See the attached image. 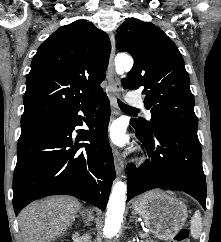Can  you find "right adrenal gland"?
Returning <instances> with one entry per match:
<instances>
[{
  "label": "right adrenal gland",
  "mask_w": 221,
  "mask_h": 242,
  "mask_svg": "<svg viewBox=\"0 0 221 242\" xmlns=\"http://www.w3.org/2000/svg\"><path fill=\"white\" fill-rule=\"evenodd\" d=\"M78 216L82 217V220L85 223V226H88L89 222L93 219L91 212L82 206L80 207Z\"/></svg>",
  "instance_id": "2a0ac1e0"
}]
</instances>
